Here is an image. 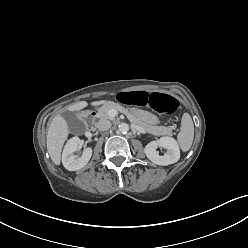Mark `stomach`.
Listing matches in <instances>:
<instances>
[{"label": "stomach", "instance_id": "0dacf381", "mask_svg": "<svg viewBox=\"0 0 248 248\" xmlns=\"http://www.w3.org/2000/svg\"><path fill=\"white\" fill-rule=\"evenodd\" d=\"M129 114L131 117H137L138 119L147 124L155 125L159 122L158 118L155 115L144 110H130Z\"/></svg>", "mask_w": 248, "mask_h": 248}]
</instances>
